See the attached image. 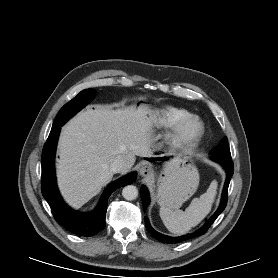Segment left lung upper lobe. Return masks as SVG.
<instances>
[{"mask_svg":"<svg viewBox=\"0 0 278 278\" xmlns=\"http://www.w3.org/2000/svg\"><path fill=\"white\" fill-rule=\"evenodd\" d=\"M210 154L212 155L213 160H215L221 164L233 165L230 149L228 146L227 137H225L220 142V144L210 152Z\"/></svg>","mask_w":278,"mask_h":278,"instance_id":"obj_1","label":"left lung upper lobe"}]
</instances>
